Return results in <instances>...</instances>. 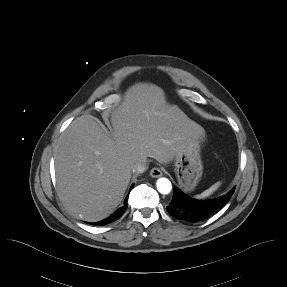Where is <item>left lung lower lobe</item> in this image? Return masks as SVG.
Returning a JSON list of instances; mask_svg holds the SVG:
<instances>
[{"label":"left lung lower lobe","mask_w":287,"mask_h":287,"mask_svg":"<svg viewBox=\"0 0 287 287\" xmlns=\"http://www.w3.org/2000/svg\"><path fill=\"white\" fill-rule=\"evenodd\" d=\"M234 189L226 195L213 200H196L190 198L177 187H174L173 198L167 211L177 219L185 221H200L221 209L231 198Z\"/></svg>","instance_id":"0a47b994"}]
</instances>
